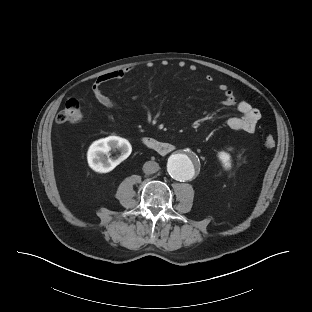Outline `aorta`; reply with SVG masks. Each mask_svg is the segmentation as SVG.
<instances>
[{
  "label": "aorta",
  "mask_w": 312,
  "mask_h": 312,
  "mask_svg": "<svg viewBox=\"0 0 312 312\" xmlns=\"http://www.w3.org/2000/svg\"><path fill=\"white\" fill-rule=\"evenodd\" d=\"M198 169V159L194 155L175 154L167 163L170 176L178 181L191 179Z\"/></svg>",
  "instance_id": "1"
}]
</instances>
